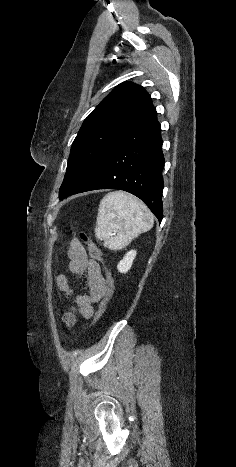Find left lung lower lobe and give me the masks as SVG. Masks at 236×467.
I'll return each mask as SVG.
<instances>
[{
    "mask_svg": "<svg viewBox=\"0 0 236 467\" xmlns=\"http://www.w3.org/2000/svg\"><path fill=\"white\" fill-rule=\"evenodd\" d=\"M160 124L155 109L127 130L108 150L88 181L74 194L118 189L139 197L158 218H163L164 157Z\"/></svg>",
    "mask_w": 236,
    "mask_h": 467,
    "instance_id": "left-lung-lower-lobe-1",
    "label": "left lung lower lobe"
}]
</instances>
